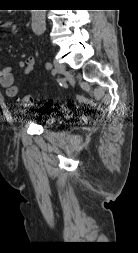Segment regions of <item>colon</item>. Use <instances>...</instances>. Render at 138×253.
Wrapping results in <instances>:
<instances>
[{"label": "colon", "mask_w": 138, "mask_h": 253, "mask_svg": "<svg viewBox=\"0 0 138 253\" xmlns=\"http://www.w3.org/2000/svg\"><path fill=\"white\" fill-rule=\"evenodd\" d=\"M20 102L24 106H33L35 104V97L33 95H23L20 97Z\"/></svg>", "instance_id": "5ec220e1"}]
</instances>
